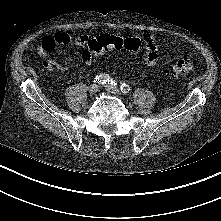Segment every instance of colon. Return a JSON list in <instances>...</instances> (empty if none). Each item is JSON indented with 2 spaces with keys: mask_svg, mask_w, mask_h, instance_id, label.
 Instances as JSON below:
<instances>
[{
  "mask_svg": "<svg viewBox=\"0 0 221 221\" xmlns=\"http://www.w3.org/2000/svg\"><path fill=\"white\" fill-rule=\"evenodd\" d=\"M144 41L139 37H117L109 34H102L92 38L82 57L96 59L101 54L111 50H126L130 52H140L144 50ZM193 69V64L188 57H179L166 70L165 74L170 78H179L188 75Z\"/></svg>",
  "mask_w": 221,
  "mask_h": 221,
  "instance_id": "colon-1",
  "label": "colon"
}]
</instances>
